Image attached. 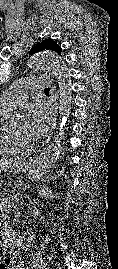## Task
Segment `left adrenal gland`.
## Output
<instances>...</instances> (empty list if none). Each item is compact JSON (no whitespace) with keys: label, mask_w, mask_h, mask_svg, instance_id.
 Here are the masks:
<instances>
[{"label":"left adrenal gland","mask_w":118,"mask_h":269,"mask_svg":"<svg viewBox=\"0 0 118 269\" xmlns=\"http://www.w3.org/2000/svg\"><path fill=\"white\" fill-rule=\"evenodd\" d=\"M21 185H22V190H25L26 185H24V184H21Z\"/></svg>","instance_id":"a2214340"}]
</instances>
